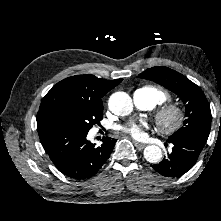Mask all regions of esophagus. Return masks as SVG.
Masks as SVG:
<instances>
[{"instance_id": "34e87169", "label": "esophagus", "mask_w": 221, "mask_h": 221, "mask_svg": "<svg viewBox=\"0 0 221 221\" xmlns=\"http://www.w3.org/2000/svg\"><path fill=\"white\" fill-rule=\"evenodd\" d=\"M133 142H134L135 146L139 149H143L146 146L145 143H141V142H138V141H133Z\"/></svg>"}]
</instances>
